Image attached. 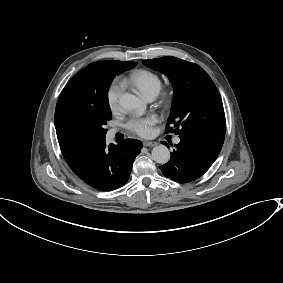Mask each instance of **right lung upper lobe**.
Masks as SVG:
<instances>
[{"instance_id":"cb5924a9","label":"right lung upper lobe","mask_w":283,"mask_h":283,"mask_svg":"<svg viewBox=\"0 0 283 283\" xmlns=\"http://www.w3.org/2000/svg\"><path fill=\"white\" fill-rule=\"evenodd\" d=\"M135 62L114 60L89 64L62 90L55 110V128L62 154L70 167L76 165L105 138L87 129L79 120L80 107L102 99L117 73Z\"/></svg>"}]
</instances>
